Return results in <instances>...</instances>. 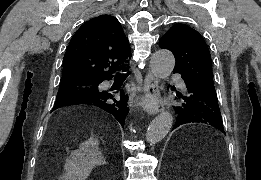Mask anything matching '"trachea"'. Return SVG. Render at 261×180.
Masks as SVG:
<instances>
[{
    "label": "trachea",
    "instance_id": "trachea-1",
    "mask_svg": "<svg viewBox=\"0 0 261 180\" xmlns=\"http://www.w3.org/2000/svg\"><path fill=\"white\" fill-rule=\"evenodd\" d=\"M127 77H128L127 74H122V73L118 72L115 78L116 79H126Z\"/></svg>",
    "mask_w": 261,
    "mask_h": 180
}]
</instances>
